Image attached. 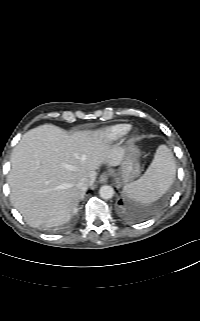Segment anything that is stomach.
Masks as SVG:
<instances>
[{"label":"stomach","mask_w":200,"mask_h":321,"mask_svg":"<svg viewBox=\"0 0 200 321\" xmlns=\"http://www.w3.org/2000/svg\"><path fill=\"white\" fill-rule=\"evenodd\" d=\"M139 157L140 151L136 146L131 145L125 150L120 167L117 171L114 172L118 183H129L140 175L141 166Z\"/></svg>","instance_id":"0dacf381"}]
</instances>
